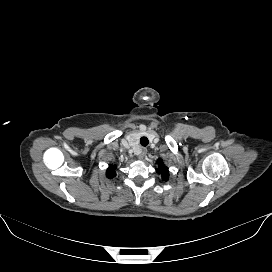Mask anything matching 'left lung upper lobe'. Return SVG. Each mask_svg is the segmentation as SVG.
<instances>
[{
	"mask_svg": "<svg viewBox=\"0 0 272 272\" xmlns=\"http://www.w3.org/2000/svg\"><path fill=\"white\" fill-rule=\"evenodd\" d=\"M157 172L162 175L163 180L167 181L169 177L168 168L163 164L161 159H158Z\"/></svg>",
	"mask_w": 272,
	"mask_h": 272,
	"instance_id": "left-lung-upper-lobe-1",
	"label": "left lung upper lobe"
}]
</instances>
